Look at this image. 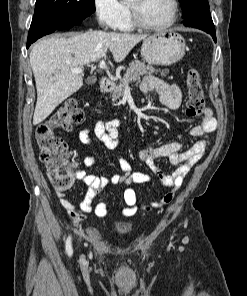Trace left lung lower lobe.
<instances>
[{
    "instance_id": "0a47b994",
    "label": "left lung lower lobe",
    "mask_w": 247,
    "mask_h": 296,
    "mask_svg": "<svg viewBox=\"0 0 247 296\" xmlns=\"http://www.w3.org/2000/svg\"><path fill=\"white\" fill-rule=\"evenodd\" d=\"M188 27H194L209 33L216 42L215 27L211 18L209 9H203L189 16L184 24Z\"/></svg>"
}]
</instances>
